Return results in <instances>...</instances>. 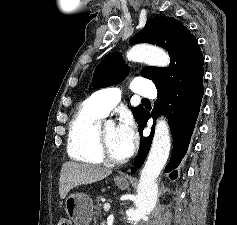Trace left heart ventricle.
<instances>
[{
    "label": "left heart ventricle",
    "instance_id": "b2bd125f",
    "mask_svg": "<svg viewBox=\"0 0 237 225\" xmlns=\"http://www.w3.org/2000/svg\"><path fill=\"white\" fill-rule=\"evenodd\" d=\"M103 131L111 155L116 159H123L117 144V127L114 124H105Z\"/></svg>",
    "mask_w": 237,
    "mask_h": 225
}]
</instances>
